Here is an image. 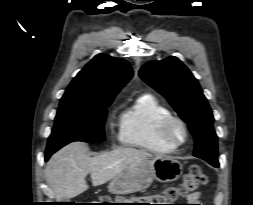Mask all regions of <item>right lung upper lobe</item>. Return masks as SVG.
<instances>
[{
    "mask_svg": "<svg viewBox=\"0 0 253 205\" xmlns=\"http://www.w3.org/2000/svg\"><path fill=\"white\" fill-rule=\"evenodd\" d=\"M132 75L124 59L98 54L73 79L60 104H98L114 99Z\"/></svg>",
    "mask_w": 253,
    "mask_h": 205,
    "instance_id": "cb5924a9",
    "label": "right lung upper lobe"
}]
</instances>
